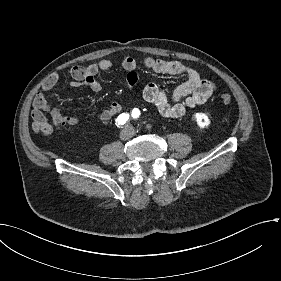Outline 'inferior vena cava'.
<instances>
[{
    "mask_svg": "<svg viewBox=\"0 0 281 281\" xmlns=\"http://www.w3.org/2000/svg\"><path fill=\"white\" fill-rule=\"evenodd\" d=\"M125 132L130 131V134L128 135V137H132L134 135V128L133 127H129L124 129Z\"/></svg>",
    "mask_w": 281,
    "mask_h": 281,
    "instance_id": "602c4592",
    "label": "inferior vena cava"
}]
</instances>
